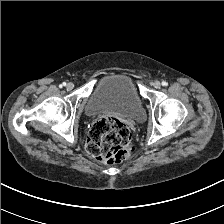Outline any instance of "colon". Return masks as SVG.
<instances>
[{
	"label": "colon",
	"mask_w": 224,
	"mask_h": 224,
	"mask_svg": "<svg viewBox=\"0 0 224 224\" xmlns=\"http://www.w3.org/2000/svg\"><path fill=\"white\" fill-rule=\"evenodd\" d=\"M86 150L104 164L120 163L133 152L131 130L118 118L102 117L89 132Z\"/></svg>",
	"instance_id": "obj_1"
}]
</instances>
